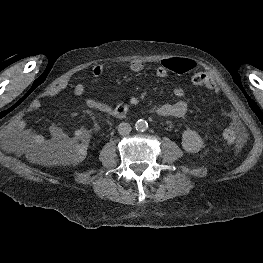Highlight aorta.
<instances>
[{
  "instance_id": "aorta-1",
  "label": "aorta",
  "mask_w": 263,
  "mask_h": 263,
  "mask_svg": "<svg viewBox=\"0 0 263 263\" xmlns=\"http://www.w3.org/2000/svg\"><path fill=\"white\" fill-rule=\"evenodd\" d=\"M135 128L137 131L144 132L148 128V123L144 119H139L135 124Z\"/></svg>"
}]
</instances>
